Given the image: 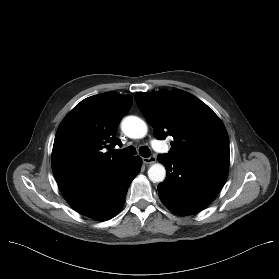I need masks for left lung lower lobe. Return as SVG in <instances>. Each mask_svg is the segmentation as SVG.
Segmentation results:
<instances>
[{
    "label": "left lung lower lobe",
    "instance_id": "left-lung-lower-lobe-1",
    "mask_svg": "<svg viewBox=\"0 0 279 279\" xmlns=\"http://www.w3.org/2000/svg\"><path fill=\"white\" fill-rule=\"evenodd\" d=\"M158 160L166 167V178L158 185L162 202L173 213L188 215L207 207L225 184L228 169L182 162L168 155Z\"/></svg>",
    "mask_w": 279,
    "mask_h": 279
}]
</instances>
